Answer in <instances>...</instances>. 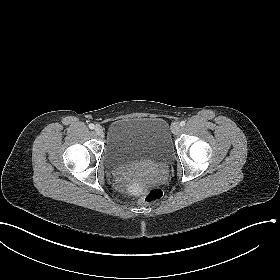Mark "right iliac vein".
Here are the masks:
<instances>
[{
	"instance_id": "63e3f726",
	"label": "right iliac vein",
	"mask_w": 280,
	"mask_h": 280,
	"mask_svg": "<svg viewBox=\"0 0 280 280\" xmlns=\"http://www.w3.org/2000/svg\"><path fill=\"white\" fill-rule=\"evenodd\" d=\"M94 130L97 135H102L103 133V128L100 125H96Z\"/></svg>"
}]
</instances>
